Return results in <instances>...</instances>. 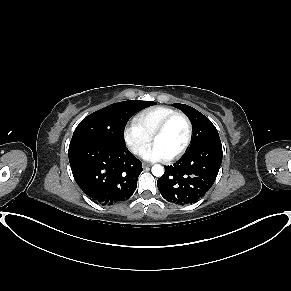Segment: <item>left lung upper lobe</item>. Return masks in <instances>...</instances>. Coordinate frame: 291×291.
Listing matches in <instances>:
<instances>
[{
    "label": "left lung upper lobe",
    "mask_w": 291,
    "mask_h": 291,
    "mask_svg": "<svg viewBox=\"0 0 291 291\" xmlns=\"http://www.w3.org/2000/svg\"><path fill=\"white\" fill-rule=\"evenodd\" d=\"M173 106L184 112L192 123L193 139L189 150L208 141L220 139L216 127L202 113L185 104H173Z\"/></svg>",
    "instance_id": "5c2ea615"
}]
</instances>
